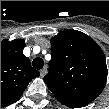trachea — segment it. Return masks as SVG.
<instances>
[{"mask_svg": "<svg viewBox=\"0 0 109 109\" xmlns=\"http://www.w3.org/2000/svg\"><path fill=\"white\" fill-rule=\"evenodd\" d=\"M43 65H44V61L42 58H35L32 62V66L35 68V69H42L43 68Z\"/></svg>", "mask_w": 109, "mask_h": 109, "instance_id": "trachea-1", "label": "trachea"}]
</instances>
